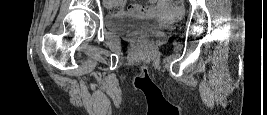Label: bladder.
<instances>
[{
	"label": "bladder",
	"mask_w": 267,
	"mask_h": 115,
	"mask_svg": "<svg viewBox=\"0 0 267 115\" xmlns=\"http://www.w3.org/2000/svg\"><path fill=\"white\" fill-rule=\"evenodd\" d=\"M156 18L157 16L155 15L119 13L107 14L104 21L109 31L117 34H125L144 29Z\"/></svg>",
	"instance_id": "1"
}]
</instances>
